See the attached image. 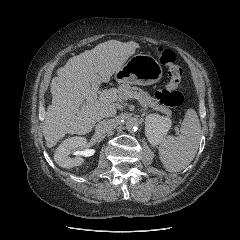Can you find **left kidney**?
Masks as SVG:
<instances>
[{"label":"left kidney","mask_w":240,"mask_h":240,"mask_svg":"<svg viewBox=\"0 0 240 240\" xmlns=\"http://www.w3.org/2000/svg\"><path fill=\"white\" fill-rule=\"evenodd\" d=\"M171 124L169 117L158 114L147 115L145 118V135L149 143L152 145L160 144L171 128Z\"/></svg>","instance_id":"5707ae66"}]
</instances>
